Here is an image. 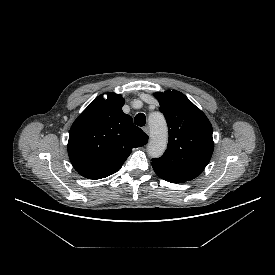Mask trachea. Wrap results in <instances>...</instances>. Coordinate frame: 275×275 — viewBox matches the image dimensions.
Segmentation results:
<instances>
[{
    "instance_id": "3493384b",
    "label": "trachea",
    "mask_w": 275,
    "mask_h": 275,
    "mask_svg": "<svg viewBox=\"0 0 275 275\" xmlns=\"http://www.w3.org/2000/svg\"><path fill=\"white\" fill-rule=\"evenodd\" d=\"M134 123L140 127L144 126L146 123V116L144 113H138L134 118Z\"/></svg>"
}]
</instances>
